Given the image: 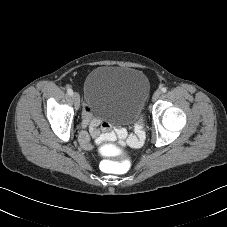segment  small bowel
<instances>
[{"label": "small bowel", "mask_w": 227, "mask_h": 227, "mask_svg": "<svg viewBox=\"0 0 227 227\" xmlns=\"http://www.w3.org/2000/svg\"><path fill=\"white\" fill-rule=\"evenodd\" d=\"M100 121L94 117L93 111L89 106H85L83 111V123L82 130L79 134L78 141L80 145L86 150L93 148L92 140H103L108 138L111 141H118L122 146H129L132 148H138L144 141L143 131L138 128L135 135H130L125 128L111 131L110 125L104 126L106 134H99Z\"/></svg>", "instance_id": "small-bowel-1"}]
</instances>
